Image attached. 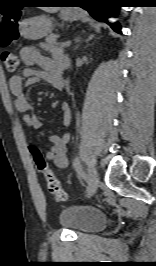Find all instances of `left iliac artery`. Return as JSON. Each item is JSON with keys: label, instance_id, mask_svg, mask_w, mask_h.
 Here are the masks:
<instances>
[{"label": "left iliac artery", "instance_id": "left-iliac-artery-1", "mask_svg": "<svg viewBox=\"0 0 156 266\" xmlns=\"http://www.w3.org/2000/svg\"><path fill=\"white\" fill-rule=\"evenodd\" d=\"M73 165H74L76 171L78 172V174H80L84 179H86V176L82 171L80 160L78 157L74 158Z\"/></svg>", "mask_w": 156, "mask_h": 266}]
</instances>
